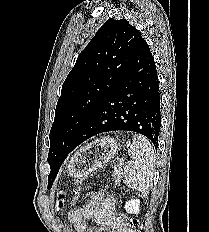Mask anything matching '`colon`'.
I'll return each mask as SVG.
<instances>
[{"label": "colon", "mask_w": 209, "mask_h": 232, "mask_svg": "<svg viewBox=\"0 0 209 232\" xmlns=\"http://www.w3.org/2000/svg\"><path fill=\"white\" fill-rule=\"evenodd\" d=\"M77 197V193L74 192L72 195V199L75 200ZM61 205V202H59V206ZM124 223L126 224L129 232H138L137 228H138V220L134 217H124L123 219Z\"/></svg>", "instance_id": "colon-1"}]
</instances>
